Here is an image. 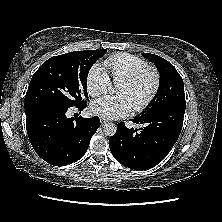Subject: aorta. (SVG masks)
<instances>
[{"mask_svg": "<svg viewBox=\"0 0 222 222\" xmlns=\"http://www.w3.org/2000/svg\"><path fill=\"white\" fill-rule=\"evenodd\" d=\"M103 131H104L105 135L113 136L117 131V127L113 123H106L104 125V130Z\"/></svg>", "mask_w": 222, "mask_h": 222, "instance_id": "1", "label": "aorta"}]
</instances>
